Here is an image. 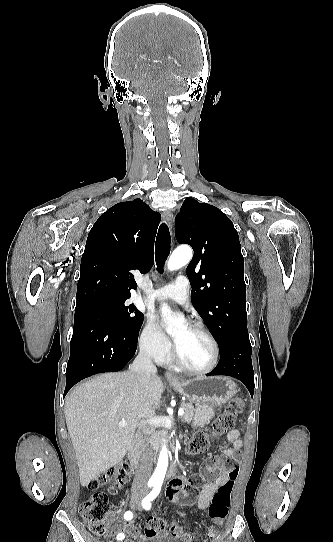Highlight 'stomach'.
Instances as JSON below:
<instances>
[{
	"label": "stomach",
	"mask_w": 333,
	"mask_h": 542,
	"mask_svg": "<svg viewBox=\"0 0 333 542\" xmlns=\"http://www.w3.org/2000/svg\"><path fill=\"white\" fill-rule=\"evenodd\" d=\"M175 392L195 404L193 426H205L215 416V408L223 406L236 396L238 390L235 382L224 376L211 378H193L185 382L169 384Z\"/></svg>",
	"instance_id": "stomach-1"
}]
</instances>
